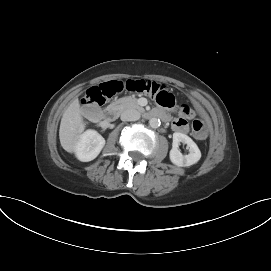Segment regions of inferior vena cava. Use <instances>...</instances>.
<instances>
[{"mask_svg": "<svg viewBox=\"0 0 271 271\" xmlns=\"http://www.w3.org/2000/svg\"><path fill=\"white\" fill-rule=\"evenodd\" d=\"M140 118V113L135 109H127L122 112L121 120L122 121H136Z\"/></svg>", "mask_w": 271, "mask_h": 271, "instance_id": "obj_1", "label": "inferior vena cava"}]
</instances>
